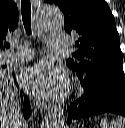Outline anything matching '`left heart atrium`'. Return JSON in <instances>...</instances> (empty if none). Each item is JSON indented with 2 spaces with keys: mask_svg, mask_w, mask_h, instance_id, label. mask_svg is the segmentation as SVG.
<instances>
[{
  "mask_svg": "<svg viewBox=\"0 0 125 128\" xmlns=\"http://www.w3.org/2000/svg\"><path fill=\"white\" fill-rule=\"evenodd\" d=\"M21 84L30 94L44 98L61 93L67 80L61 69L43 61L22 73Z\"/></svg>",
  "mask_w": 125,
  "mask_h": 128,
  "instance_id": "left-heart-atrium-1",
  "label": "left heart atrium"
}]
</instances>
